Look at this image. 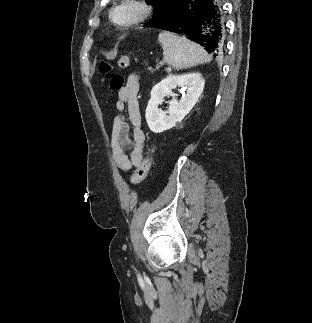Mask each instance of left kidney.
I'll return each mask as SVG.
<instances>
[{"instance_id":"obj_1","label":"left kidney","mask_w":312,"mask_h":323,"mask_svg":"<svg viewBox=\"0 0 312 323\" xmlns=\"http://www.w3.org/2000/svg\"><path fill=\"white\" fill-rule=\"evenodd\" d=\"M204 78L199 72L195 74H183V76H167L162 82L156 84L151 90V98L146 108V122L154 134H160L165 130L174 128L177 122H182L183 118L189 114L204 88ZM184 88L186 90L181 100H171L168 112H160L159 104L164 102L165 96H174L172 90ZM169 114V116H167Z\"/></svg>"}]
</instances>
